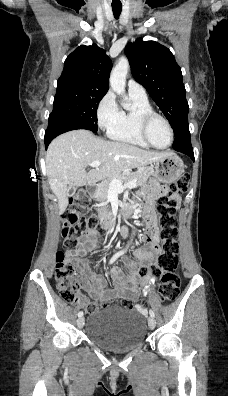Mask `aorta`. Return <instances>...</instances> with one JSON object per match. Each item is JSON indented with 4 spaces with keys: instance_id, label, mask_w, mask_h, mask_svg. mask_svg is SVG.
<instances>
[{
    "instance_id": "1",
    "label": "aorta",
    "mask_w": 228,
    "mask_h": 396,
    "mask_svg": "<svg viewBox=\"0 0 228 396\" xmlns=\"http://www.w3.org/2000/svg\"><path fill=\"white\" fill-rule=\"evenodd\" d=\"M128 70V60L125 57H121L110 75V86L115 93L123 96L121 104L124 109H128L130 107L129 99L125 96L126 76Z\"/></svg>"
}]
</instances>
